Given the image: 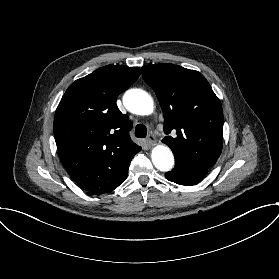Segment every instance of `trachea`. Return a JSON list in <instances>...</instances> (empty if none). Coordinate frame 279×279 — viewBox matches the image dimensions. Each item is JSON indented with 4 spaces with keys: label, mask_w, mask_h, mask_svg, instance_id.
<instances>
[{
    "label": "trachea",
    "mask_w": 279,
    "mask_h": 279,
    "mask_svg": "<svg viewBox=\"0 0 279 279\" xmlns=\"http://www.w3.org/2000/svg\"><path fill=\"white\" fill-rule=\"evenodd\" d=\"M147 135V129L142 124H138L135 128V136L139 138H144Z\"/></svg>",
    "instance_id": "1"
}]
</instances>
